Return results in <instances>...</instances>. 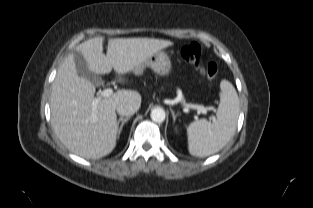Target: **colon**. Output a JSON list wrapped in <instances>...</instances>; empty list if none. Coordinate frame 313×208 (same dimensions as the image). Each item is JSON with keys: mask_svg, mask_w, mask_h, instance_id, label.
Here are the masks:
<instances>
[{"mask_svg": "<svg viewBox=\"0 0 313 208\" xmlns=\"http://www.w3.org/2000/svg\"><path fill=\"white\" fill-rule=\"evenodd\" d=\"M181 56L192 64L203 76L210 80L216 79L218 75L217 65L207 60L198 43L192 42L183 46Z\"/></svg>", "mask_w": 313, "mask_h": 208, "instance_id": "colon-1", "label": "colon"}]
</instances>
